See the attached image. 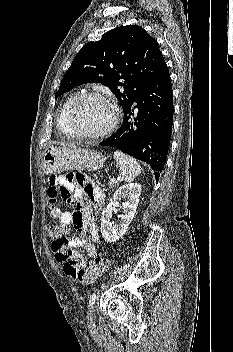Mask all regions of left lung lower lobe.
I'll return each mask as SVG.
<instances>
[{
	"instance_id": "left-lung-lower-lobe-1",
	"label": "left lung lower lobe",
	"mask_w": 233,
	"mask_h": 352,
	"mask_svg": "<svg viewBox=\"0 0 233 352\" xmlns=\"http://www.w3.org/2000/svg\"><path fill=\"white\" fill-rule=\"evenodd\" d=\"M122 126L100 145L145 161L158 181L165 165L173 124V93L166 68L123 108Z\"/></svg>"
}]
</instances>
